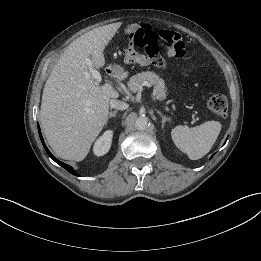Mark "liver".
<instances>
[{
	"mask_svg": "<svg viewBox=\"0 0 261 261\" xmlns=\"http://www.w3.org/2000/svg\"><path fill=\"white\" fill-rule=\"evenodd\" d=\"M114 30L93 29L74 40L52 69L43 89L40 121L55 154L81 161L107 123L109 102L117 91L108 83L99 85L85 62L104 66V48ZM124 76L119 77L122 79Z\"/></svg>",
	"mask_w": 261,
	"mask_h": 261,
	"instance_id": "6515ba94",
	"label": "liver"
}]
</instances>
